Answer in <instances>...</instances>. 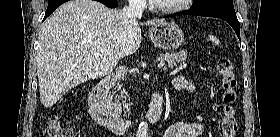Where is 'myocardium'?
Wrapping results in <instances>:
<instances>
[{"label": "myocardium", "instance_id": "f54148a6", "mask_svg": "<svg viewBox=\"0 0 280 137\" xmlns=\"http://www.w3.org/2000/svg\"><path fill=\"white\" fill-rule=\"evenodd\" d=\"M188 2H189V0H179V3L176 5H173V6L162 7L157 4H153V3H151L150 6L153 10L160 12V13H175L180 10H183L186 7Z\"/></svg>", "mask_w": 280, "mask_h": 137}]
</instances>
